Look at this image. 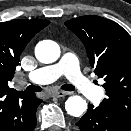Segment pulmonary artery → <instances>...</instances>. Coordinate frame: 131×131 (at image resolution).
I'll return each mask as SVG.
<instances>
[{"mask_svg":"<svg viewBox=\"0 0 131 131\" xmlns=\"http://www.w3.org/2000/svg\"><path fill=\"white\" fill-rule=\"evenodd\" d=\"M62 75L66 76L72 85L90 100H97L103 94L101 87L93 84L81 73L76 55L70 52L65 53L58 63L32 71L28 74V79L33 83L47 84Z\"/></svg>","mask_w":131,"mask_h":131,"instance_id":"obj_1","label":"pulmonary artery"}]
</instances>
